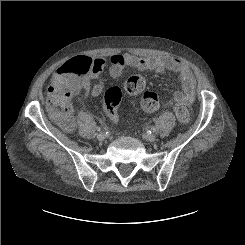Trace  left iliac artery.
<instances>
[{"label":"left iliac artery","instance_id":"left-iliac-artery-1","mask_svg":"<svg viewBox=\"0 0 245 245\" xmlns=\"http://www.w3.org/2000/svg\"><path fill=\"white\" fill-rule=\"evenodd\" d=\"M156 130H157V128H156V127H152V128H151V130H149L148 132H150V133H151V132H155Z\"/></svg>","mask_w":245,"mask_h":245}]
</instances>
